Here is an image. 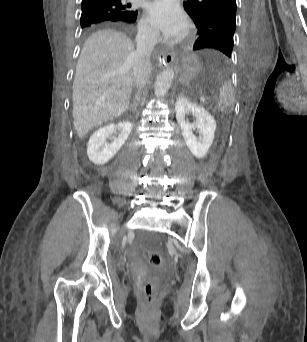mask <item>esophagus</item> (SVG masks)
<instances>
[{
    "mask_svg": "<svg viewBox=\"0 0 307 342\" xmlns=\"http://www.w3.org/2000/svg\"><path fill=\"white\" fill-rule=\"evenodd\" d=\"M157 52V51H155ZM162 56V59L164 60L165 64L168 65L170 64L174 59H175V54L174 52H159Z\"/></svg>",
    "mask_w": 307,
    "mask_h": 342,
    "instance_id": "34e87169",
    "label": "esophagus"
}]
</instances>
